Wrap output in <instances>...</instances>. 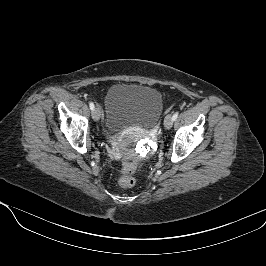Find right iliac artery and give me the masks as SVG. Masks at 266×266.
Instances as JSON below:
<instances>
[{
    "label": "right iliac artery",
    "instance_id": "right-iliac-artery-1",
    "mask_svg": "<svg viewBox=\"0 0 266 266\" xmlns=\"http://www.w3.org/2000/svg\"><path fill=\"white\" fill-rule=\"evenodd\" d=\"M89 107H90L91 110H93L94 109V103L93 102H90L89 103Z\"/></svg>",
    "mask_w": 266,
    "mask_h": 266
}]
</instances>
